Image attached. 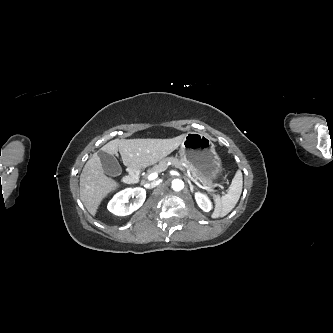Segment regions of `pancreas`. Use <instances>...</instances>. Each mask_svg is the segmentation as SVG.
<instances>
[{
    "label": "pancreas",
    "mask_w": 333,
    "mask_h": 333,
    "mask_svg": "<svg viewBox=\"0 0 333 333\" xmlns=\"http://www.w3.org/2000/svg\"><path fill=\"white\" fill-rule=\"evenodd\" d=\"M169 163L172 166H175L177 168H182V166H183L182 164L184 163V161L182 159H178L176 157L164 158V159L160 160L158 164L154 165L152 168H149L147 170V176L153 172L160 173V172L164 171L168 167ZM192 176L194 177L195 180L202 182V184L205 187H208L210 189V192L216 186V184H214L211 179L204 178L197 172L193 171Z\"/></svg>",
    "instance_id": "cf45deb5"
}]
</instances>
